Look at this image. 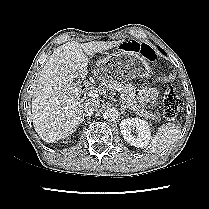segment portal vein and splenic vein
<instances>
[{"mask_svg":"<svg viewBox=\"0 0 209 209\" xmlns=\"http://www.w3.org/2000/svg\"><path fill=\"white\" fill-rule=\"evenodd\" d=\"M99 91L98 90H90L89 92H88V96L89 97H91V98H96V97H98V95H99ZM121 99L122 100H126L127 99V97L125 96V94L124 93H122L121 94Z\"/></svg>","mask_w":209,"mask_h":209,"instance_id":"1","label":"portal vein and splenic vein"}]
</instances>
